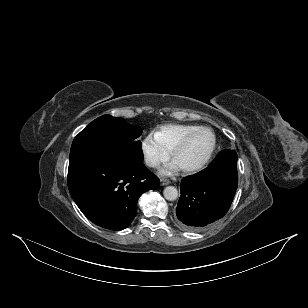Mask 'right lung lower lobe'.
I'll return each mask as SVG.
<instances>
[{"mask_svg":"<svg viewBox=\"0 0 308 308\" xmlns=\"http://www.w3.org/2000/svg\"><path fill=\"white\" fill-rule=\"evenodd\" d=\"M68 188L82 213L96 225L122 230L134 219L140 195L159 188L143 163L83 159L69 163Z\"/></svg>","mask_w":308,"mask_h":308,"instance_id":"1","label":"right lung lower lobe"}]
</instances>
